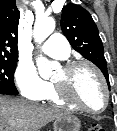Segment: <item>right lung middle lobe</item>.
Listing matches in <instances>:
<instances>
[{"instance_id": "dd1d6c3e", "label": "right lung middle lobe", "mask_w": 117, "mask_h": 131, "mask_svg": "<svg viewBox=\"0 0 117 131\" xmlns=\"http://www.w3.org/2000/svg\"><path fill=\"white\" fill-rule=\"evenodd\" d=\"M18 57L0 55V94L17 95L14 72Z\"/></svg>"}]
</instances>
